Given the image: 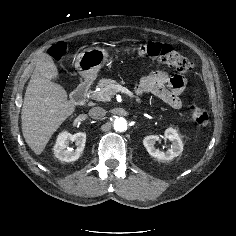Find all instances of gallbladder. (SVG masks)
<instances>
[{"label":"gallbladder","instance_id":"bac80fb5","mask_svg":"<svg viewBox=\"0 0 236 236\" xmlns=\"http://www.w3.org/2000/svg\"><path fill=\"white\" fill-rule=\"evenodd\" d=\"M38 61H40L43 66L45 67L46 69V74L49 75L50 78H56L57 75H58V70H57V67L55 66L52 58L46 54V53H43L42 55H40L38 57Z\"/></svg>","mask_w":236,"mask_h":236}]
</instances>
